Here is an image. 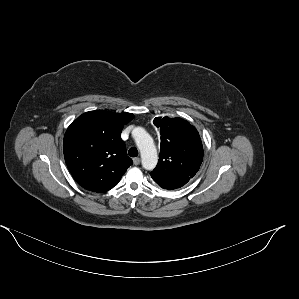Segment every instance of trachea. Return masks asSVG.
<instances>
[{"label": "trachea", "instance_id": "3493384b", "mask_svg": "<svg viewBox=\"0 0 299 299\" xmlns=\"http://www.w3.org/2000/svg\"><path fill=\"white\" fill-rule=\"evenodd\" d=\"M128 155L130 157H137L138 156V150L135 147H132L128 151Z\"/></svg>", "mask_w": 299, "mask_h": 299}]
</instances>
